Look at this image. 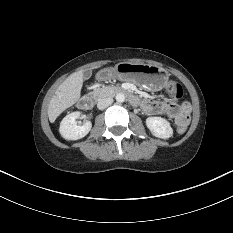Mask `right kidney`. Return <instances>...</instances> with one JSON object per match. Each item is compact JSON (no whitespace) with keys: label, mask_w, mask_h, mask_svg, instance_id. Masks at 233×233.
I'll list each match as a JSON object with an SVG mask.
<instances>
[{"label":"right kidney","mask_w":233,"mask_h":233,"mask_svg":"<svg viewBox=\"0 0 233 233\" xmlns=\"http://www.w3.org/2000/svg\"><path fill=\"white\" fill-rule=\"evenodd\" d=\"M80 112H73L66 115L60 123L59 132L66 140H78L85 137L91 130L92 124L87 121L82 126L77 125L76 119Z\"/></svg>","instance_id":"ca27d5eb"}]
</instances>
